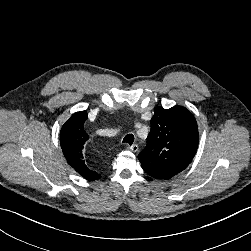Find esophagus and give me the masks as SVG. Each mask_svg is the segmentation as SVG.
Wrapping results in <instances>:
<instances>
[{"label": "esophagus", "instance_id": "obj_1", "mask_svg": "<svg viewBox=\"0 0 251 251\" xmlns=\"http://www.w3.org/2000/svg\"><path fill=\"white\" fill-rule=\"evenodd\" d=\"M129 149L133 152H137L138 151V145L137 144H133L129 147Z\"/></svg>", "mask_w": 251, "mask_h": 251}]
</instances>
